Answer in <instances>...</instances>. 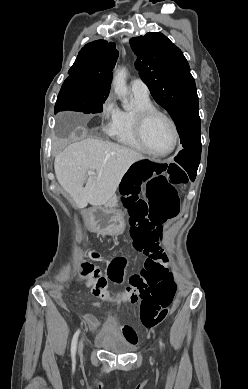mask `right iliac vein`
Masks as SVG:
<instances>
[{"label":"right iliac vein","instance_id":"1","mask_svg":"<svg viewBox=\"0 0 248 389\" xmlns=\"http://www.w3.org/2000/svg\"><path fill=\"white\" fill-rule=\"evenodd\" d=\"M82 349H83V340H80L79 346H78V352H79V354L82 352Z\"/></svg>","mask_w":248,"mask_h":389}]
</instances>
